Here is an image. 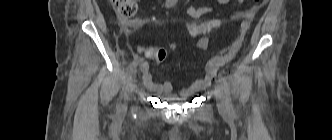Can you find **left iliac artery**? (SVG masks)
<instances>
[{
  "mask_svg": "<svg viewBox=\"0 0 332 140\" xmlns=\"http://www.w3.org/2000/svg\"><path fill=\"white\" fill-rule=\"evenodd\" d=\"M219 77H220V80L222 82L223 89H224V92H225L227 109H228L229 113L233 114L234 113V108H233V104H232V99H231L227 79H226L225 75L222 74V73L219 74Z\"/></svg>",
  "mask_w": 332,
  "mask_h": 140,
  "instance_id": "left-iliac-artery-1",
  "label": "left iliac artery"
}]
</instances>
